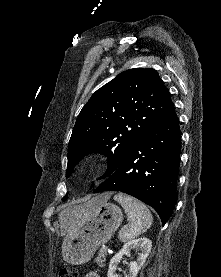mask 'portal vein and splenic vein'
Segmentation results:
<instances>
[{"label": "portal vein and splenic vein", "instance_id": "18ae733b", "mask_svg": "<svg viewBox=\"0 0 221 277\" xmlns=\"http://www.w3.org/2000/svg\"><path fill=\"white\" fill-rule=\"evenodd\" d=\"M107 248H108V247L104 245V246L102 247V250L107 251Z\"/></svg>", "mask_w": 221, "mask_h": 277}]
</instances>
